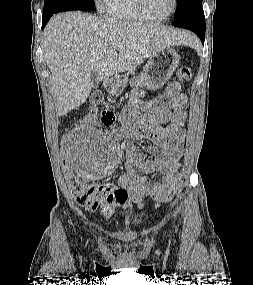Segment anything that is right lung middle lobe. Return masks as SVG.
<instances>
[{
  "label": "right lung middle lobe",
  "mask_w": 253,
  "mask_h": 285,
  "mask_svg": "<svg viewBox=\"0 0 253 285\" xmlns=\"http://www.w3.org/2000/svg\"><path fill=\"white\" fill-rule=\"evenodd\" d=\"M94 7L93 0H45L43 14L70 10H90Z\"/></svg>",
  "instance_id": "1"
}]
</instances>
